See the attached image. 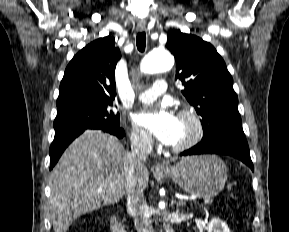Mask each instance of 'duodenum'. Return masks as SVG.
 Segmentation results:
<instances>
[{
    "instance_id": "410a0bca",
    "label": "duodenum",
    "mask_w": 289,
    "mask_h": 232,
    "mask_svg": "<svg viewBox=\"0 0 289 232\" xmlns=\"http://www.w3.org/2000/svg\"><path fill=\"white\" fill-rule=\"evenodd\" d=\"M111 229L112 232H127L123 225L120 223L117 216L111 218Z\"/></svg>"
}]
</instances>
